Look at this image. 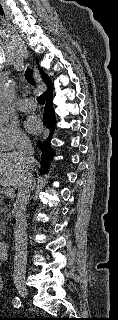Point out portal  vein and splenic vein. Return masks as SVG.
<instances>
[{"instance_id": "portal-vein-and-splenic-vein-1", "label": "portal vein and splenic vein", "mask_w": 118, "mask_h": 320, "mask_svg": "<svg viewBox=\"0 0 118 320\" xmlns=\"http://www.w3.org/2000/svg\"><path fill=\"white\" fill-rule=\"evenodd\" d=\"M4 193H5L6 197H8V198L14 197V190L10 187H7L4 191Z\"/></svg>"}]
</instances>
